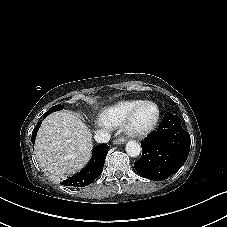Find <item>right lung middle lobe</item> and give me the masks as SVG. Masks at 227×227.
<instances>
[{
    "instance_id": "1",
    "label": "right lung middle lobe",
    "mask_w": 227,
    "mask_h": 227,
    "mask_svg": "<svg viewBox=\"0 0 227 227\" xmlns=\"http://www.w3.org/2000/svg\"><path fill=\"white\" fill-rule=\"evenodd\" d=\"M63 109V106L62 105H56V106H53L51 107L47 112L46 114L44 115V117L48 116L50 113L54 112V111H58V110H62Z\"/></svg>"
}]
</instances>
